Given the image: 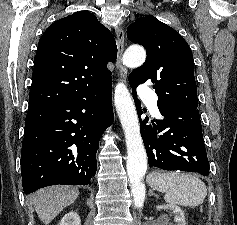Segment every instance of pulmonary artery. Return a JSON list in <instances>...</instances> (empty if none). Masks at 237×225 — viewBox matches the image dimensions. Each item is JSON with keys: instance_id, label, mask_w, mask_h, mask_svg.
<instances>
[{"instance_id": "1", "label": "pulmonary artery", "mask_w": 237, "mask_h": 225, "mask_svg": "<svg viewBox=\"0 0 237 225\" xmlns=\"http://www.w3.org/2000/svg\"><path fill=\"white\" fill-rule=\"evenodd\" d=\"M138 93L141 99L148 105L152 113L156 116H159L156 94L150 91L145 85L139 86Z\"/></svg>"}]
</instances>
